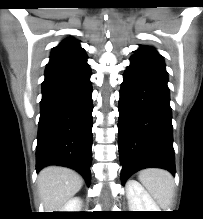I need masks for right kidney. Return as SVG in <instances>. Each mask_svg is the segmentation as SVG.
Listing matches in <instances>:
<instances>
[{"instance_id":"1","label":"right kidney","mask_w":203,"mask_h":219,"mask_svg":"<svg viewBox=\"0 0 203 219\" xmlns=\"http://www.w3.org/2000/svg\"><path fill=\"white\" fill-rule=\"evenodd\" d=\"M82 200L79 197L70 199L60 210L61 212H80Z\"/></svg>"}]
</instances>
